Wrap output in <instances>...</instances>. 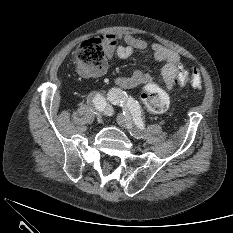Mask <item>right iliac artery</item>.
<instances>
[{
    "mask_svg": "<svg viewBox=\"0 0 233 233\" xmlns=\"http://www.w3.org/2000/svg\"><path fill=\"white\" fill-rule=\"evenodd\" d=\"M87 103L95 107L97 110L103 111L107 115H110L112 112L106 99L100 93H91L87 98Z\"/></svg>",
    "mask_w": 233,
    "mask_h": 233,
    "instance_id": "1",
    "label": "right iliac artery"
}]
</instances>
